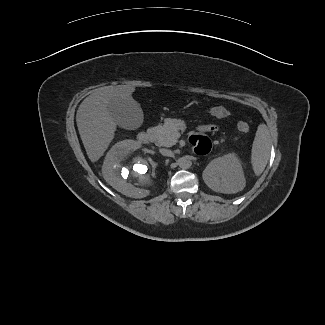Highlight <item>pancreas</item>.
Listing matches in <instances>:
<instances>
[{
  "label": "pancreas",
  "mask_w": 325,
  "mask_h": 325,
  "mask_svg": "<svg viewBox=\"0 0 325 325\" xmlns=\"http://www.w3.org/2000/svg\"><path fill=\"white\" fill-rule=\"evenodd\" d=\"M186 128L184 121L179 119H166L164 124H159L154 128L156 132L155 144L159 147H171L177 142L178 131ZM236 139V138H235ZM224 139H221L223 142Z\"/></svg>",
  "instance_id": "1"
}]
</instances>
